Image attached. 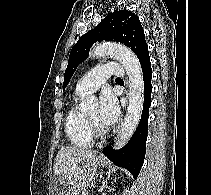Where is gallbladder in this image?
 Segmentation results:
<instances>
[{"label": "gallbladder", "instance_id": "bac80fb5", "mask_svg": "<svg viewBox=\"0 0 211 195\" xmlns=\"http://www.w3.org/2000/svg\"><path fill=\"white\" fill-rule=\"evenodd\" d=\"M54 182H55V180H54ZM54 182H53V183H54ZM52 192H53L52 195H56L57 190L55 189L54 184H53V186H52Z\"/></svg>", "mask_w": 211, "mask_h": 195}]
</instances>
